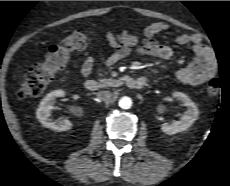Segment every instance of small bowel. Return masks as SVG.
Wrapping results in <instances>:
<instances>
[{"label":"small bowel","mask_w":230,"mask_h":186,"mask_svg":"<svg viewBox=\"0 0 230 186\" xmlns=\"http://www.w3.org/2000/svg\"><path fill=\"white\" fill-rule=\"evenodd\" d=\"M169 25L165 22H154L147 25L143 31V38L127 30L119 33L107 32L106 39L111 47V54L106 60V65L111 66L126 56L136 53L148 55L164 60L175 56L174 50L155 40L156 35L167 31ZM180 45H190L192 59L176 72V78L188 86H198L211 80L217 73L218 63L214 52L200 43L196 34H180L175 38ZM94 59L89 52L84 53L80 72L84 78L92 75Z\"/></svg>","instance_id":"obj_1"}]
</instances>
